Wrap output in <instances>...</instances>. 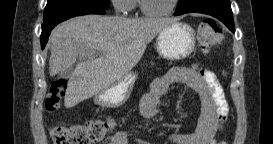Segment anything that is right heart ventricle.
Listing matches in <instances>:
<instances>
[{"label": "right heart ventricle", "mask_w": 273, "mask_h": 144, "mask_svg": "<svg viewBox=\"0 0 273 144\" xmlns=\"http://www.w3.org/2000/svg\"><path fill=\"white\" fill-rule=\"evenodd\" d=\"M137 2H138L137 0H133V1H132V3H131L132 9H134V8L136 7Z\"/></svg>", "instance_id": "obj_1"}]
</instances>
